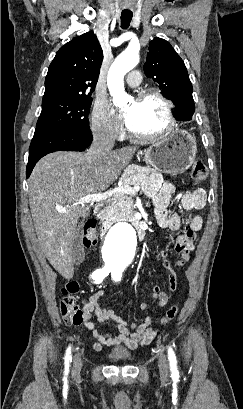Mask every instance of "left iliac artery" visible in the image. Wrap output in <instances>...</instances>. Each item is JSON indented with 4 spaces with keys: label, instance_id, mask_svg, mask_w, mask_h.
Wrapping results in <instances>:
<instances>
[{
    "label": "left iliac artery",
    "instance_id": "left-iliac-artery-1",
    "mask_svg": "<svg viewBox=\"0 0 243 409\" xmlns=\"http://www.w3.org/2000/svg\"><path fill=\"white\" fill-rule=\"evenodd\" d=\"M112 278L114 281H120L121 279V271L118 270H112ZM168 359L170 362V370L172 373V378L174 380H177L179 378V372L177 370V361H176V356L171 347L168 348Z\"/></svg>",
    "mask_w": 243,
    "mask_h": 409
}]
</instances>
